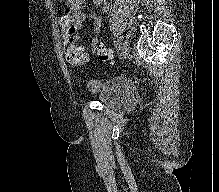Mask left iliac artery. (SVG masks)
Here are the masks:
<instances>
[{"mask_svg":"<svg viewBox=\"0 0 219 192\" xmlns=\"http://www.w3.org/2000/svg\"><path fill=\"white\" fill-rule=\"evenodd\" d=\"M116 47H117V50L119 51L121 48V43L119 42V40L116 41Z\"/></svg>","mask_w":219,"mask_h":192,"instance_id":"left-iliac-artery-1","label":"left iliac artery"}]
</instances>
